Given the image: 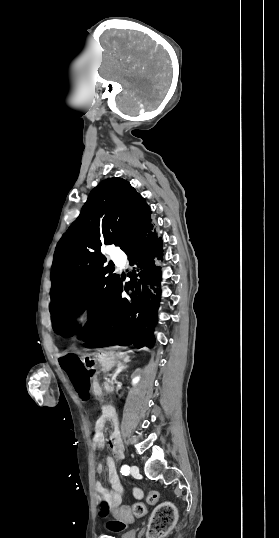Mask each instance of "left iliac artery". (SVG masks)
I'll use <instances>...</instances> for the list:
<instances>
[{
    "label": "left iliac artery",
    "instance_id": "1",
    "mask_svg": "<svg viewBox=\"0 0 279 538\" xmlns=\"http://www.w3.org/2000/svg\"><path fill=\"white\" fill-rule=\"evenodd\" d=\"M129 470H130V469H129V466H128V465H123V466L121 467V473H122L123 475H128V474H129Z\"/></svg>",
    "mask_w": 279,
    "mask_h": 538
}]
</instances>
